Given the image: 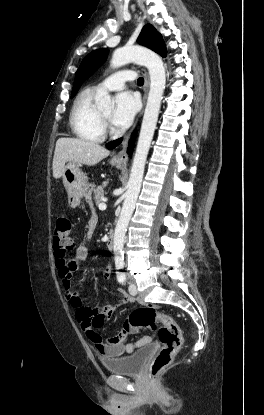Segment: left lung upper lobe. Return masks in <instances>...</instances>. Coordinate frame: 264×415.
<instances>
[{
	"label": "left lung upper lobe",
	"instance_id": "1",
	"mask_svg": "<svg viewBox=\"0 0 264 415\" xmlns=\"http://www.w3.org/2000/svg\"><path fill=\"white\" fill-rule=\"evenodd\" d=\"M137 41L139 44L150 48L162 57H166L165 43L160 33L151 24L144 26ZM108 52V49H98L83 59L75 74L71 97L75 96L83 82L104 63Z\"/></svg>",
	"mask_w": 264,
	"mask_h": 415
}]
</instances>
